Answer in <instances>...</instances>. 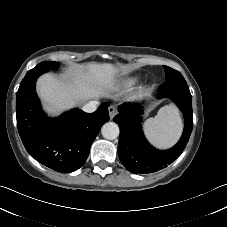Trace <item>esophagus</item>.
I'll use <instances>...</instances> for the list:
<instances>
[{
  "label": "esophagus",
  "mask_w": 227,
  "mask_h": 227,
  "mask_svg": "<svg viewBox=\"0 0 227 227\" xmlns=\"http://www.w3.org/2000/svg\"><path fill=\"white\" fill-rule=\"evenodd\" d=\"M108 112H109V116H110V119L112 120L114 118V116L118 113L117 109L113 106H110L108 108Z\"/></svg>",
  "instance_id": "obj_1"
}]
</instances>
